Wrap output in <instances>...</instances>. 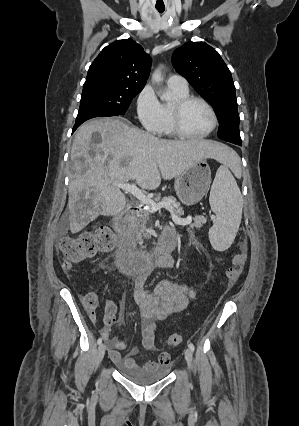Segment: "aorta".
Listing matches in <instances>:
<instances>
[{
    "label": "aorta",
    "mask_w": 299,
    "mask_h": 426,
    "mask_svg": "<svg viewBox=\"0 0 299 426\" xmlns=\"http://www.w3.org/2000/svg\"><path fill=\"white\" fill-rule=\"evenodd\" d=\"M162 80V75L159 69H156L152 74V81L155 83H159ZM171 94L170 93H163L161 95V100L163 101H169L171 100Z\"/></svg>",
    "instance_id": "762f6f07"
}]
</instances>
